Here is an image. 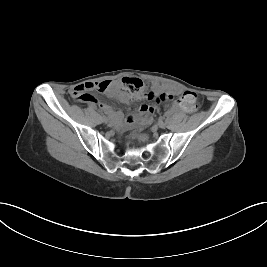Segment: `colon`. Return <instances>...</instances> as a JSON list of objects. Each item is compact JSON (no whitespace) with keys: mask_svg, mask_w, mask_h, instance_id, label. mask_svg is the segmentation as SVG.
<instances>
[{"mask_svg":"<svg viewBox=\"0 0 267 267\" xmlns=\"http://www.w3.org/2000/svg\"><path fill=\"white\" fill-rule=\"evenodd\" d=\"M110 82L103 81L93 87L89 84H82L73 92V100L75 102H85L93 99L90 94L92 90L104 91L108 88ZM123 89L128 92L133 99H140L146 97L153 103L159 104L168 102L171 100V96L168 93H145L143 83L138 79L127 78L124 81ZM180 106L188 113L196 112L199 108L197 95L194 92L187 91L179 99Z\"/></svg>","mask_w":267,"mask_h":267,"instance_id":"1","label":"colon"}]
</instances>
